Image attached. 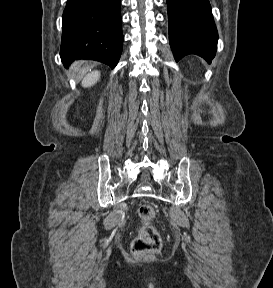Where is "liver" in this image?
<instances>
[{
	"instance_id": "1",
	"label": "liver",
	"mask_w": 273,
	"mask_h": 288,
	"mask_svg": "<svg viewBox=\"0 0 273 288\" xmlns=\"http://www.w3.org/2000/svg\"><path fill=\"white\" fill-rule=\"evenodd\" d=\"M100 78V72L99 71H93L89 74H87L83 81H82V86L83 87H91L94 85Z\"/></svg>"
}]
</instances>
